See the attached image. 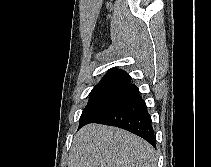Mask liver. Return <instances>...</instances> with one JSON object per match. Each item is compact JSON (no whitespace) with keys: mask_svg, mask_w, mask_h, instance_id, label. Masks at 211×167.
Wrapping results in <instances>:
<instances>
[{"mask_svg":"<svg viewBox=\"0 0 211 167\" xmlns=\"http://www.w3.org/2000/svg\"><path fill=\"white\" fill-rule=\"evenodd\" d=\"M154 148L116 127L89 124L75 135L68 167H156Z\"/></svg>","mask_w":211,"mask_h":167,"instance_id":"liver-1","label":"liver"}]
</instances>
